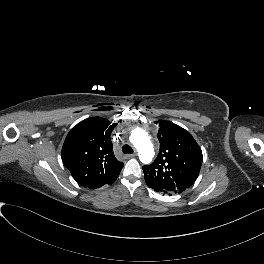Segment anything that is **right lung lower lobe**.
Returning a JSON list of instances; mask_svg holds the SVG:
<instances>
[{
    "label": "right lung lower lobe",
    "mask_w": 264,
    "mask_h": 264,
    "mask_svg": "<svg viewBox=\"0 0 264 264\" xmlns=\"http://www.w3.org/2000/svg\"><path fill=\"white\" fill-rule=\"evenodd\" d=\"M117 179V177L111 182V183H109V184H107V185H110V184H112L115 180Z\"/></svg>",
    "instance_id": "right-lung-lower-lobe-1"
}]
</instances>
